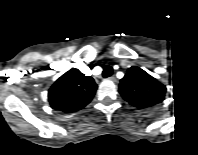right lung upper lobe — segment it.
Returning <instances> with one entry per match:
<instances>
[{
	"mask_svg": "<svg viewBox=\"0 0 198 155\" xmlns=\"http://www.w3.org/2000/svg\"><path fill=\"white\" fill-rule=\"evenodd\" d=\"M97 85L90 76L71 69L52 85L48 100L55 110L74 112L85 107L95 95Z\"/></svg>",
	"mask_w": 198,
	"mask_h": 155,
	"instance_id": "obj_1",
	"label": "right lung upper lobe"
}]
</instances>
